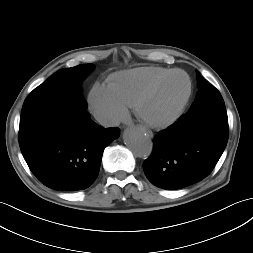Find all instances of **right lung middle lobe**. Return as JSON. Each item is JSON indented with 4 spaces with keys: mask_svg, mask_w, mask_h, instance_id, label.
I'll return each mask as SVG.
<instances>
[{
    "mask_svg": "<svg viewBox=\"0 0 253 253\" xmlns=\"http://www.w3.org/2000/svg\"><path fill=\"white\" fill-rule=\"evenodd\" d=\"M93 68V64H81L57 71L27 96L21 114L76 97L81 89V81L89 75ZM82 104L86 105L83 100Z\"/></svg>",
    "mask_w": 253,
    "mask_h": 253,
    "instance_id": "dd1d6c3e",
    "label": "right lung middle lobe"
}]
</instances>
